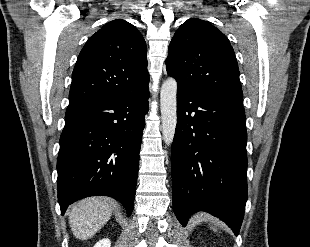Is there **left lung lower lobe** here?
Instances as JSON below:
<instances>
[{
	"label": "left lung lower lobe",
	"instance_id": "0a47b994",
	"mask_svg": "<svg viewBox=\"0 0 310 247\" xmlns=\"http://www.w3.org/2000/svg\"><path fill=\"white\" fill-rule=\"evenodd\" d=\"M246 143L241 104L178 86L171 167L173 209L183 226L205 211L239 234L248 198Z\"/></svg>",
	"mask_w": 310,
	"mask_h": 247
}]
</instances>
